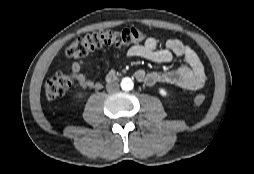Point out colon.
Returning <instances> with one entry per match:
<instances>
[{"instance_id": "obj_1", "label": "colon", "mask_w": 254, "mask_h": 174, "mask_svg": "<svg viewBox=\"0 0 254 174\" xmlns=\"http://www.w3.org/2000/svg\"><path fill=\"white\" fill-rule=\"evenodd\" d=\"M145 38L144 33L136 28H125L121 30H101L89 33L69 45L66 54L71 58L86 56L91 51L103 45H125L139 43ZM73 77L65 73H57L45 84V94L49 100H56L63 96L72 86ZM206 96L197 94L194 103L201 105Z\"/></svg>"}]
</instances>
